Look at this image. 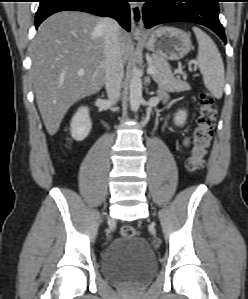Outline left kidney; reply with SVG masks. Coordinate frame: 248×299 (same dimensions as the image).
<instances>
[{
    "label": "left kidney",
    "instance_id": "left-kidney-1",
    "mask_svg": "<svg viewBox=\"0 0 248 299\" xmlns=\"http://www.w3.org/2000/svg\"><path fill=\"white\" fill-rule=\"evenodd\" d=\"M187 118V112L185 110H179L174 117V122L178 126H183Z\"/></svg>",
    "mask_w": 248,
    "mask_h": 299
}]
</instances>
